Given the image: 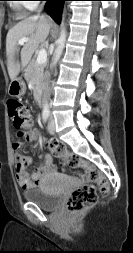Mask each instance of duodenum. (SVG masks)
<instances>
[{
  "label": "duodenum",
  "mask_w": 133,
  "mask_h": 253,
  "mask_svg": "<svg viewBox=\"0 0 133 253\" xmlns=\"http://www.w3.org/2000/svg\"><path fill=\"white\" fill-rule=\"evenodd\" d=\"M36 94H37L36 100L37 101H42L43 97H44V86L43 85H38L37 86Z\"/></svg>",
  "instance_id": "duodenum-1"
}]
</instances>
